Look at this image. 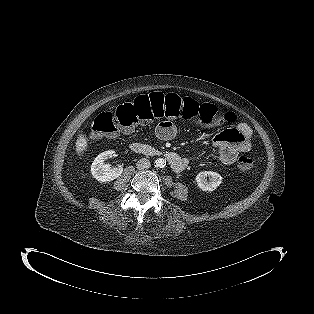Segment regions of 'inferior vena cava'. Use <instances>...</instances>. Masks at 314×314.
I'll use <instances>...</instances> for the list:
<instances>
[{
  "label": "inferior vena cava",
  "instance_id": "inferior-vena-cava-1",
  "mask_svg": "<svg viewBox=\"0 0 314 314\" xmlns=\"http://www.w3.org/2000/svg\"><path fill=\"white\" fill-rule=\"evenodd\" d=\"M136 166H137V169H138V170L142 171V170H147V169H149L150 166H151V163H150V161H149L147 158H141V159L137 162Z\"/></svg>",
  "mask_w": 314,
  "mask_h": 314
}]
</instances>
